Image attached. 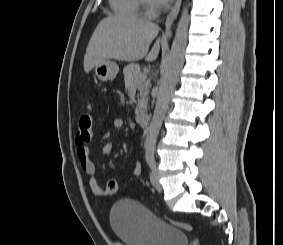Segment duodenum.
I'll use <instances>...</instances> for the list:
<instances>
[{"label": "duodenum", "mask_w": 283, "mask_h": 245, "mask_svg": "<svg viewBox=\"0 0 283 245\" xmlns=\"http://www.w3.org/2000/svg\"><path fill=\"white\" fill-rule=\"evenodd\" d=\"M137 122L142 126V127H147L150 123V116L146 113H140L136 117Z\"/></svg>", "instance_id": "1"}]
</instances>
